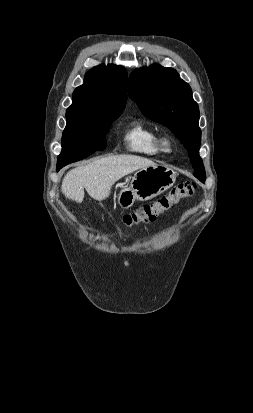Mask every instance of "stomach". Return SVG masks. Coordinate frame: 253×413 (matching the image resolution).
I'll list each match as a JSON object with an SVG mask.
<instances>
[{
    "mask_svg": "<svg viewBox=\"0 0 253 413\" xmlns=\"http://www.w3.org/2000/svg\"><path fill=\"white\" fill-rule=\"evenodd\" d=\"M176 181V173L165 166H149L137 171L129 187L118 194L121 207L130 208L136 200L147 201L168 190Z\"/></svg>",
    "mask_w": 253,
    "mask_h": 413,
    "instance_id": "0dacf381",
    "label": "stomach"
}]
</instances>
